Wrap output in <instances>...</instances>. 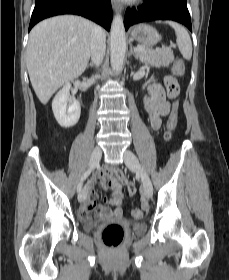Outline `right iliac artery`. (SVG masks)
Wrapping results in <instances>:
<instances>
[{
	"label": "right iliac artery",
	"instance_id": "right-iliac-artery-1",
	"mask_svg": "<svg viewBox=\"0 0 229 280\" xmlns=\"http://www.w3.org/2000/svg\"><path fill=\"white\" fill-rule=\"evenodd\" d=\"M91 169H88L84 175L82 176L78 186H77V192L80 193L81 189H82V186H83V182L88 178V176L91 174Z\"/></svg>",
	"mask_w": 229,
	"mask_h": 280
}]
</instances>
